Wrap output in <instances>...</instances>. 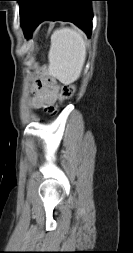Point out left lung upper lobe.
Instances as JSON below:
<instances>
[{
	"mask_svg": "<svg viewBox=\"0 0 133 253\" xmlns=\"http://www.w3.org/2000/svg\"><path fill=\"white\" fill-rule=\"evenodd\" d=\"M15 1H18L19 2V5L22 3L23 0H15Z\"/></svg>",
	"mask_w": 133,
	"mask_h": 253,
	"instance_id": "obj_1",
	"label": "left lung upper lobe"
}]
</instances>
